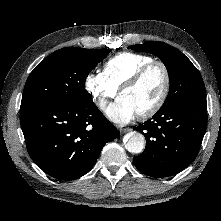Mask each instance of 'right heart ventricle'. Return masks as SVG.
<instances>
[{
	"label": "right heart ventricle",
	"instance_id": "1",
	"mask_svg": "<svg viewBox=\"0 0 221 221\" xmlns=\"http://www.w3.org/2000/svg\"><path fill=\"white\" fill-rule=\"evenodd\" d=\"M151 61L153 58L145 54L120 52L103 64V74L116 89H119L137 69Z\"/></svg>",
	"mask_w": 221,
	"mask_h": 221
}]
</instances>
